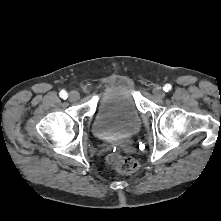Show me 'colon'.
Segmentation results:
<instances>
[{
  "label": "colon",
  "instance_id": "colon-1",
  "mask_svg": "<svg viewBox=\"0 0 221 221\" xmlns=\"http://www.w3.org/2000/svg\"><path fill=\"white\" fill-rule=\"evenodd\" d=\"M106 162L109 166L123 174L135 173L139 168L134 158L123 156L115 152H111L106 156Z\"/></svg>",
  "mask_w": 221,
  "mask_h": 221
}]
</instances>
